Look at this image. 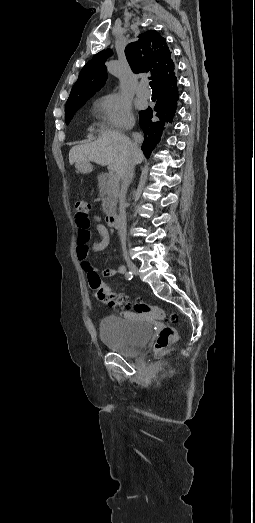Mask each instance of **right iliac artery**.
Wrapping results in <instances>:
<instances>
[{"instance_id": "right-iliac-artery-1", "label": "right iliac artery", "mask_w": 255, "mask_h": 523, "mask_svg": "<svg viewBox=\"0 0 255 523\" xmlns=\"http://www.w3.org/2000/svg\"><path fill=\"white\" fill-rule=\"evenodd\" d=\"M125 277H126V279L131 280L132 277H133L132 272H127V273L125 274Z\"/></svg>"}]
</instances>
